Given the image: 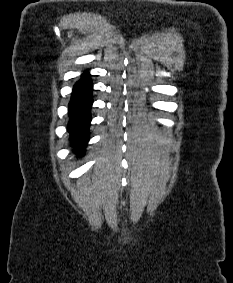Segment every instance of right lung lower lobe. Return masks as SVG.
I'll use <instances>...</instances> for the list:
<instances>
[{
	"label": "right lung lower lobe",
	"mask_w": 233,
	"mask_h": 283,
	"mask_svg": "<svg viewBox=\"0 0 233 283\" xmlns=\"http://www.w3.org/2000/svg\"><path fill=\"white\" fill-rule=\"evenodd\" d=\"M92 82L88 72L78 81L73 89L71 101L69 103L68 132L74 151L82 155L89 140V125L91 121L90 109L92 106Z\"/></svg>",
	"instance_id": "1"
}]
</instances>
